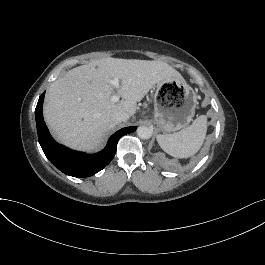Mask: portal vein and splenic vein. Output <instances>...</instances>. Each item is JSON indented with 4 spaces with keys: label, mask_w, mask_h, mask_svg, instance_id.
Here are the masks:
<instances>
[{
    "label": "portal vein and splenic vein",
    "mask_w": 265,
    "mask_h": 265,
    "mask_svg": "<svg viewBox=\"0 0 265 265\" xmlns=\"http://www.w3.org/2000/svg\"><path fill=\"white\" fill-rule=\"evenodd\" d=\"M109 83L112 84L117 89L120 88L119 78L118 77L113 78L112 80L109 81ZM119 99H120L119 95H113L111 97V101H113V102H118Z\"/></svg>",
    "instance_id": "obj_1"
}]
</instances>
